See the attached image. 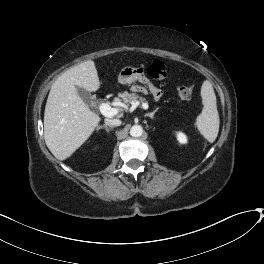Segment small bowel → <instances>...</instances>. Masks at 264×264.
<instances>
[{
	"label": "small bowel",
	"instance_id": "c3829d8e",
	"mask_svg": "<svg viewBox=\"0 0 264 264\" xmlns=\"http://www.w3.org/2000/svg\"><path fill=\"white\" fill-rule=\"evenodd\" d=\"M151 92L156 100L160 99L162 92L158 88L151 87Z\"/></svg>",
	"mask_w": 264,
	"mask_h": 264
}]
</instances>
